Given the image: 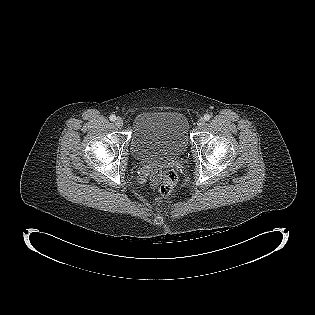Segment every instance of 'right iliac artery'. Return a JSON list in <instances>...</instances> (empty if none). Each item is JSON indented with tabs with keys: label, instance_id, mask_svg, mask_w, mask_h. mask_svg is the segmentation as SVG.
I'll use <instances>...</instances> for the list:
<instances>
[{
	"label": "right iliac artery",
	"instance_id": "right-iliac-artery-1",
	"mask_svg": "<svg viewBox=\"0 0 315 315\" xmlns=\"http://www.w3.org/2000/svg\"><path fill=\"white\" fill-rule=\"evenodd\" d=\"M109 119H110L111 121H115V120H116V116H115L114 114H112V115H110Z\"/></svg>",
	"mask_w": 315,
	"mask_h": 315
}]
</instances>
